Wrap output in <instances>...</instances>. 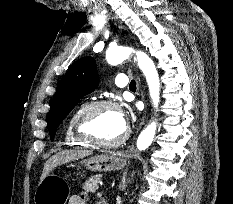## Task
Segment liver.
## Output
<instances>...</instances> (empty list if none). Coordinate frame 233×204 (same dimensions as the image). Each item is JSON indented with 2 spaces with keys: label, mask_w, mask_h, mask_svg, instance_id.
Returning a JSON list of instances; mask_svg holds the SVG:
<instances>
[{
  "label": "liver",
  "mask_w": 233,
  "mask_h": 204,
  "mask_svg": "<svg viewBox=\"0 0 233 204\" xmlns=\"http://www.w3.org/2000/svg\"><path fill=\"white\" fill-rule=\"evenodd\" d=\"M91 151L85 150H64L59 153H56L50 157L44 164L43 172L41 175V180H43L49 173L58 165H62L71 161H75L86 156L91 155Z\"/></svg>",
  "instance_id": "liver-1"
}]
</instances>
